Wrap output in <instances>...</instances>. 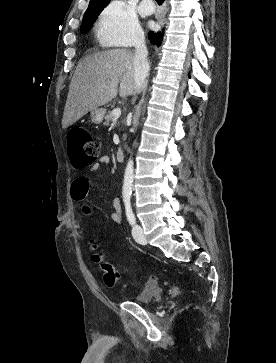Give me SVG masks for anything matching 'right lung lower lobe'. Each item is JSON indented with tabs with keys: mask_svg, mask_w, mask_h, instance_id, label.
Here are the masks:
<instances>
[{
	"mask_svg": "<svg viewBox=\"0 0 276 363\" xmlns=\"http://www.w3.org/2000/svg\"><path fill=\"white\" fill-rule=\"evenodd\" d=\"M149 39L153 45L159 46L163 40V33L162 32H149Z\"/></svg>",
	"mask_w": 276,
	"mask_h": 363,
	"instance_id": "obj_1",
	"label": "right lung lower lobe"
}]
</instances>
